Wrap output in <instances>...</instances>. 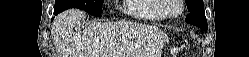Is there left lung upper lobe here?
Wrapping results in <instances>:
<instances>
[{"instance_id":"left-lung-upper-lobe-1","label":"left lung upper lobe","mask_w":249,"mask_h":57,"mask_svg":"<svg viewBox=\"0 0 249 57\" xmlns=\"http://www.w3.org/2000/svg\"><path fill=\"white\" fill-rule=\"evenodd\" d=\"M189 15L185 19L187 23L194 24L201 28H207V20L205 17L203 0H185Z\"/></svg>"}]
</instances>
